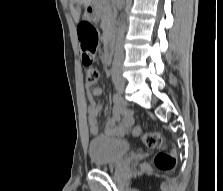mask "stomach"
I'll return each instance as SVG.
<instances>
[{
	"instance_id": "stomach-1",
	"label": "stomach",
	"mask_w": 223,
	"mask_h": 191,
	"mask_svg": "<svg viewBox=\"0 0 223 191\" xmlns=\"http://www.w3.org/2000/svg\"><path fill=\"white\" fill-rule=\"evenodd\" d=\"M84 19L85 20H92L93 19V15L86 10V12L84 14Z\"/></svg>"
}]
</instances>
